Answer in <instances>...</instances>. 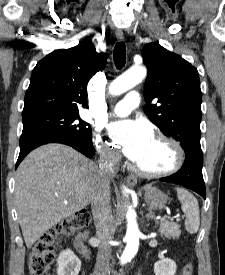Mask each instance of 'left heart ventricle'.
I'll use <instances>...</instances> for the list:
<instances>
[{
  "label": "left heart ventricle",
  "mask_w": 225,
  "mask_h": 275,
  "mask_svg": "<svg viewBox=\"0 0 225 275\" xmlns=\"http://www.w3.org/2000/svg\"><path fill=\"white\" fill-rule=\"evenodd\" d=\"M172 161L171 148L165 142L153 138L136 164L145 171L155 172L167 169Z\"/></svg>",
  "instance_id": "b2bd125f"
}]
</instances>
